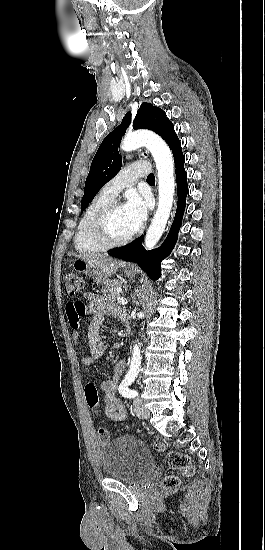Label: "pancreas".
Masks as SVG:
<instances>
[{"instance_id": "1", "label": "pancreas", "mask_w": 265, "mask_h": 550, "mask_svg": "<svg viewBox=\"0 0 265 550\" xmlns=\"http://www.w3.org/2000/svg\"><path fill=\"white\" fill-rule=\"evenodd\" d=\"M123 283L119 280H110L104 283L102 287V292L105 295L106 298H108L110 301H114L117 299L119 294L117 293V289L121 288Z\"/></svg>"}]
</instances>
